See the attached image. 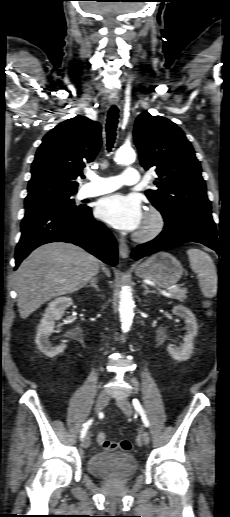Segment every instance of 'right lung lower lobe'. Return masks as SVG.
<instances>
[{
    "label": "right lung lower lobe",
    "mask_w": 230,
    "mask_h": 517,
    "mask_svg": "<svg viewBox=\"0 0 230 517\" xmlns=\"http://www.w3.org/2000/svg\"><path fill=\"white\" fill-rule=\"evenodd\" d=\"M21 232L15 269L32 250L50 242L73 243L109 265L117 264L116 240L103 223L93 218L88 206L75 211L52 207L27 209Z\"/></svg>",
    "instance_id": "right-lung-lower-lobe-1"
}]
</instances>
